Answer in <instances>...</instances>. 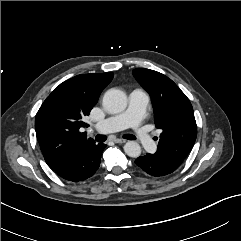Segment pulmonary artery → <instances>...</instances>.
Here are the masks:
<instances>
[{
    "label": "pulmonary artery",
    "mask_w": 241,
    "mask_h": 241,
    "mask_svg": "<svg viewBox=\"0 0 241 241\" xmlns=\"http://www.w3.org/2000/svg\"><path fill=\"white\" fill-rule=\"evenodd\" d=\"M148 103L147 92L141 88H136L129 95V105L125 112L104 119L97 123L95 128L104 133L130 128L133 136L145 149L153 150L155 142L142 126Z\"/></svg>",
    "instance_id": "pulmonary-artery-1"
}]
</instances>
